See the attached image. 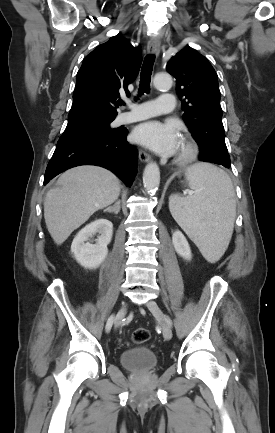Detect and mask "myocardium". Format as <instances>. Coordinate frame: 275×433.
<instances>
[{"label":"myocardium","mask_w":275,"mask_h":433,"mask_svg":"<svg viewBox=\"0 0 275 433\" xmlns=\"http://www.w3.org/2000/svg\"><path fill=\"white\" fill-rule=\"evenodd\" d=\"M181 144L182 146L178 151L174 162L180 166H186L196 158L198 147L189 135H184L182 137Z\"/></svg>","instance_id":"obj_1"}]
</instances>
